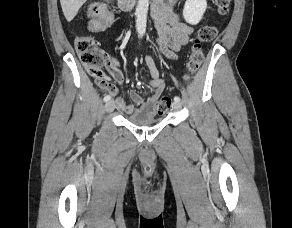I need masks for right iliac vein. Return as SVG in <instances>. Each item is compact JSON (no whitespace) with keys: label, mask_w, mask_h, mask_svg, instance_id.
Listing matches in <instances>:
<instances>
[{"label":"right iliac vein","mask_w":292,"mask_h":228,"mask_svg":"<svg viewBox=\"0 0 292 228\" xmlns=\"http://www.w3.org/2000/svg\"><path fill=\"white\" fill-rule=\"evenodd\" d=\"M115 103L113 100H110L108 102H106L105 104V111L106 112H111L114 109Z\"/></svg>","instance_id":"obj_1"}]
</instances>
